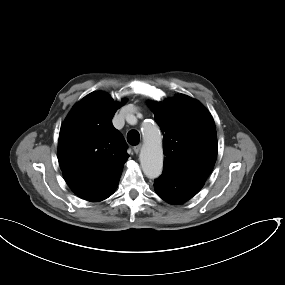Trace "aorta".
<instances>
[{"label": "aorta", "instance_id": "1", "mask_svg": "<svg viewBox=\"0 0 285 285\" xmlns=\"http://www.w3.org/2000/svg\"><path fill=\"white\" fill-rule=\"evenodd\" d=\"M144 144L140 152V163L144 174L154 179L161 175L163 168L162 138L159 128L151 122L142 126Z\"/></svg>", "mask_w": 285, "mask_h": 285}]
</instances>
